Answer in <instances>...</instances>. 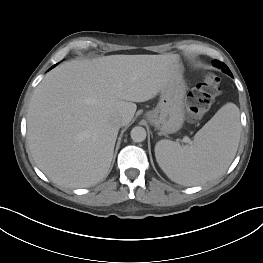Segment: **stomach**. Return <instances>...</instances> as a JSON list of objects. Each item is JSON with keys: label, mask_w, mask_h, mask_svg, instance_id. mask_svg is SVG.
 <instances>
[{"label": "stomach", "mask_w": 263, "mask_h": 263, "mask_svg": "<svg viewBox=\"0 0 263 263\" xmlns=\"http://www.w3.org/2000/svg\"><path fill=\"white\" fill-rule=\"evenodd\" d=\"M185 81L174 79L161 91L155 109L146 112L145 117L162 134H172L180 130L184 123Z\"/></svg>", "instance_id": "0dacf381"}]
</instances>
